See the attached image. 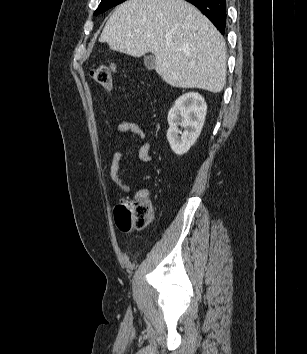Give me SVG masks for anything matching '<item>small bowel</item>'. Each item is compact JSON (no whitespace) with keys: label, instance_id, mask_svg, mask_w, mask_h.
<instances>
[{"label":"small bowel","instance_id":"1","mask_svg":"<svg viewBox=\"0 0 307 354\" xmlns=\"http://www.w3.org/2000/svg\"><path fill=\"white\" fill-rule=\"evenodd\" d=\"M117 130L120 133H132L141 139L142 144L138 151V157L141 161L151 162L154 159L153 155L150 153V139L141 125L130 121L120 122L117 125ZM122 158L123 153L120 151L113 154L109 168L111 179L123 192L132 195L134 199H147L149 194L147 189L132 190L120 176V162Z\"/></svg>","mask_w":307,"mask_h":354}]
</instances>
